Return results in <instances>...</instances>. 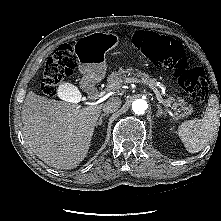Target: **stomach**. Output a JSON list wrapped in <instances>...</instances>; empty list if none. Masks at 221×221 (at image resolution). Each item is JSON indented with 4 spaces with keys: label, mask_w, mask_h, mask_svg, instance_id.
I'll use <instances>...</instances> for the list:
<instances>
[{
    "label": "stomach",
    "mask_w": 221,
    "mask_h": 221,
    "mask_svg": "<svg viewBox=\"0 0 221 221\" xmlns=\"http://www.w3.org/2000/svg\"><path fill=\"white\" fill-rule=\"evenodd\" d=\"M119 42L116 34L95 32L82 37L77 44L78 66L84 78L98 82L106 72L105 54Z\"/></svg>",
    "instance_id": "1"
}]
</instances>
